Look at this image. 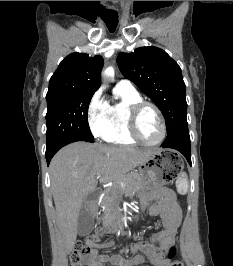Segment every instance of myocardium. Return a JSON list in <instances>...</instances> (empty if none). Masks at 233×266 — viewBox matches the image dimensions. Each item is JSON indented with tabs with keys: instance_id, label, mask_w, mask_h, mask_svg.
I'll use <instances>...</instances> for the list:
<instances>
[{
	"instance_id": "myocardium-1",
	"label": "myocardium",
	"mask_w": 233,
	"mask_h": 266,
	"mask_svg": "<svg viewBox=\"0 0 233 266\" xmlns=\"http://www.w3.org/2000/svg\"><path fill=\"white\" fill-rule=\"evenodd\" d=\"M146 107L152 108L157 113L159 120H160V123H161V135H160L159 139L155 142L145 141L140 136L139 131H138L139 115H140L141 111ZM127 120H128L129 134L135 142L142 144L144 146L154 147V146L160 145L164 141L166 134H167L166 121H165V118H164L160 108L156 104H154L150 101H146V100H140V101H137L135 103H132L128 107Z\"/></svg>"
}]
</instances>
